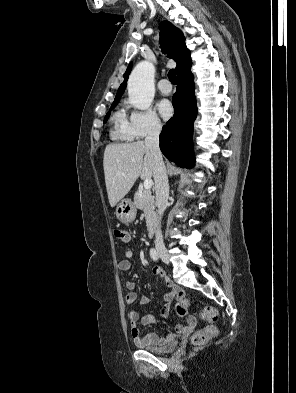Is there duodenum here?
I'll list each match as a JSON object with an SVG mask.
<instances>
[{
	"label": "duodenum",
	"mask_w": 296,
	"mask_h": 393,
	"mask_svg": "<svg viewBox=\"0 0 296 393\" xmlns=\"http://www.w3.org/2000/svg\"><path fill=\"white\" fill-rule=\"evenodd\" d=\"M150 235H151V236H155V235H156V228H155L154 226H152V227L150 228Z\"/></svg>",
	"instance_id": "duodenum-1"
}]
</instances>
